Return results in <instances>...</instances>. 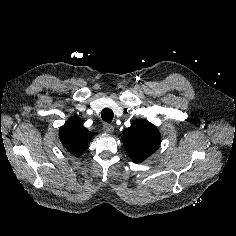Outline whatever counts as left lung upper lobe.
Returning a JSON list of instances; mask_svg holds the SVG:
<instances>
[{"label":"left lung upper lobe","instance_id":"obj_1","mask_svg":"<svg viewBox=\"0 0 236 236\" xmlns=\"http://www.w3.org/2000/svg\"><path fill=\"white\" fill-rule=\"evenodd\" d=\"M122 140L127 154L135 163H139L159 148L161 135L150 122L137 120L125 130Z\"/></svg>","mask_w":236,"mask_h":236}]
</instances>
